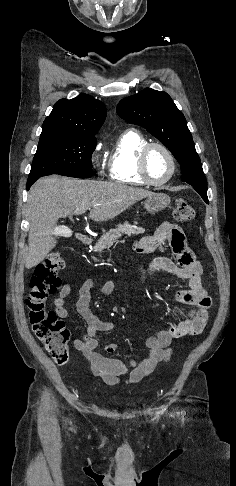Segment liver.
<instances>
[{
    "label": "liver",
    "mask_w": 236,
    "mask_h": 486,
    "mask_svg": "<svg viewBox=\"0 0 236 486\" xmlns=\"http://www.w3.org/2000/svg\"><path fill=\"white\" fill-rule=\"evenodd\" d=\"M153 193L120 183L79 180L56 175L39 179L30 189L27 214L30 223L25 267L31 269L55 247L57 221L76 209L91 208L89 217L107 221Z\"/></svg>",
    "instance_id": "6515ba94"
}]
</instances>
